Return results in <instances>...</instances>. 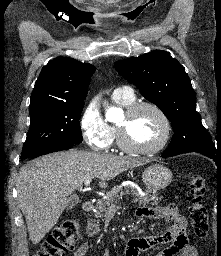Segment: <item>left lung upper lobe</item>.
Wrapping results in <instances>:
<instances>
[{
  "mask_svg": "<svg viewBox=\"0 0 221 256\" xmlns=\"http://www.w3.org/2000/svg\"><path fill=\"white\" fill-rule=\"evenodd\" d=\"M115 69L170 120L174 135L169 147L212 142L196 111V95L185 68L170 53L154 50L115 62Z\"/></svg>",
  "mask_w": 221,
  "mask_h": 256,
  "instance_id": "5c2ea615",
  "label": "left lung upper lobe"
}]
</instances>
